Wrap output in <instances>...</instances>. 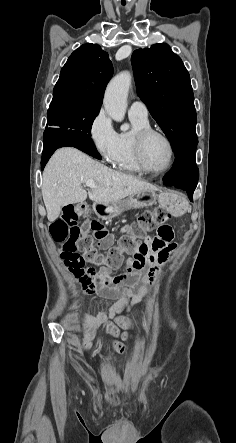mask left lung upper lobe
Returning a JSON list of instances; mask_svg holds the SVG:
<instances>
[{"instance_id":"5c2ea615","label":"left lung upper lobe","mask_w":236,"mask_h":443,"mask_svg":"<svg viewBox=\"0 0 236 443\" xmlns=\"http://www.w3.org/2000/svg\"><path fill=\"white\" fill-rule=\"evenodd\" d=\"M137 92L172 144L175 155L198 143L190 76L169 45L135 50L131 57Z\"/></svg>"}]
</instances>
